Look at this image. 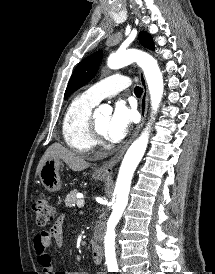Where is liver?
Listing matches in <instances>:
<instances>
[{
	"label": "liver",
	"mask_w": 215,
	"mask_h": 274,
	"mask_svg": "<svg viewBox=\"0 0 215 274\" xmlns=\"http://www.w3.org/2000/svg\"><path fill=\"white\" fill-rule=\"evenodd\" d=\"M59 158L73 171H82L90 166V164L80 155L68 150L58 143L52 144L44 153L37 166L36 175L40 172L43 164L49 158Z\"/></svg>",
	"instance_id": "1"
}]
</instances>
